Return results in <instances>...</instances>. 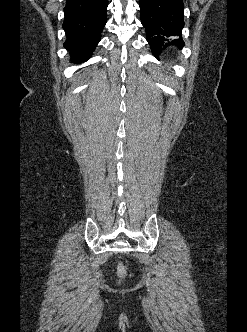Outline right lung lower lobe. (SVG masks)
I'll return each mask as SVG.
<instances>
[{"label": "right lung lower lobe", "instance_id": "right-lung-lower-lobe-1", "mask_svg": "<svg viewBox=\"0 0 247 332\" xmlns=\"http://www.w3.org/2000/svg\"><path fill=\"white\" fill-rule=\"evenodd\" d=\"M108 0H66L63 29L64 47L73 63L88 60L101 39L106 24Z\"/></svg>", "mask_w": 247, "mask_h": 332}]
</instances>
